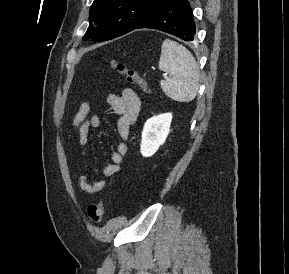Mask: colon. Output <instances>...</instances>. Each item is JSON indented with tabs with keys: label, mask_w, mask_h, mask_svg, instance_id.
Returning a JSON list of instances; mask_svg holds the SVG:
<instances>
[{
	"label": "colon",
	"mask_w": 289,
	"mask_h": 274,
	"mask_svg": "<svg viewBox=\"0 0 289 274\" xmlns=\"http://www.w3.org/2000/svg\"><path fill=\"white\" fill-rule=\"evenodd\" d=\"M109 67L118 75L124 77L129 83L136 85L143 92L150 91L149 85L135 70L128 68L125 64L116 60H106ZM105 203L104 200L98 204H92L88 207L87 215L92 223H99L104 215Z\"/></svg>",
	"instance_id": "obj_1"
}]
</instances>
